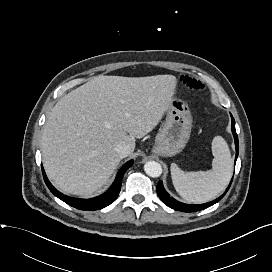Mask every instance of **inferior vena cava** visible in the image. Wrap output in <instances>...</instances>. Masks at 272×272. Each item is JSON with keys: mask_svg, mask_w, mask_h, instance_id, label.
Segmentation results:
<instances>
[{"mask_svg": "<svg viewBox=\"0 0 272 272\" xmlns=\"http://www.w3.org/2000/svg\"><path fill=\"white\" fill-rule=\"evenodd\" d=\"M115 152L120 156V158H125L131 153V148L130 146L125 143H119L115 148Z\"/></svg>", "mask_w": 272, "mask_h": 272, "instance_id": "inferior-vena-cava-1", "label": "inferior vena cava"}]
</instances>
